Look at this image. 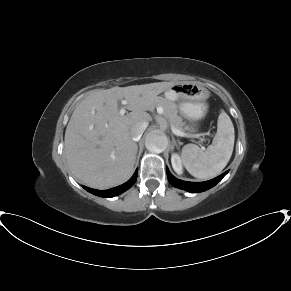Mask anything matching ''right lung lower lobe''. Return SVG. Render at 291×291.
I'll return each mask as SVG.
<instances>
[{
  "mask_svg": "<svg viewBox=\"0 0 291 291\" xmlns=\"http://www.w3.org/2000/svg\"><path fill=\"white\" fill-rule=\"evenodd\" d=\"M137 173H138V171L136 170L134 175L126 183H124L120 186H117L115 188L108 189V190H96V189H91V188L86 187V186H83V187L88 192H90L94 195L100 196V197H114V196H117V195L123 193L127 189H129L136 182Z\"/></svg>",
  "mask_w": 291,
  "mask_h": 291,
  "instance_id": "obj_1",
  "label": "right lung lower lobe"
}]
</instances>
